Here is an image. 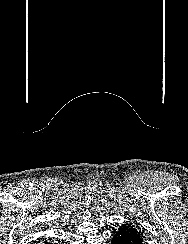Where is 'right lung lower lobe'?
Returning a JSON list of instances; mask_svg holds the SVG:
<instances>
[{"label":"right lung lower lobe","instance_id":"right-lung-lower-lobe-1","mask_svg":"<svg viewBox=\"0 0 188 244\" xmlns=\"http://www.w3.org/2000/svg\"><path fill=\"white\" fill-rule=\"evenodd\" d=\"M45 244H52V243H50V242H45Z\"/></svg>","mask_w":188,"mask_h":244}]
</instances>
